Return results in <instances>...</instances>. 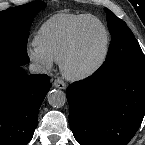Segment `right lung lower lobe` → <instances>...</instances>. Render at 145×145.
<instances>
[{"instance_id":"98d812e1","label":"right lung lower lobe","mask_w":145,"mask_h":145,"mask_svg":"<svg viewBox=\"0 0 145 145\" xmlns=\"http://www.w3.org/2000/svg\"><path fill=\"white\" fill-rule=\"evenodd\" d=\"M49 90L47 75H27L22 66L0 69V145L30 142Z\"/></svg>"}]
</instances>
